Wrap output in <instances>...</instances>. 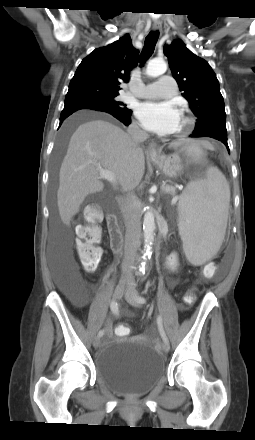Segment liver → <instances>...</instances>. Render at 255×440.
Segmentation results:
<instances>
[{"label":"liver","instance_id":"1","mask_svg":"<svg viewBox=\"0 0 255 440\" xmlns=\"http://www.w3.org/2000/svg\"><path fill=\"white\" fill-rule=\"evenodd\" d=\"M183 144L198 145L186 140L173 142L169 148ZM98 168L113 172L123 191L132 190L144 175L145 157L143 149L134 146L132 138L120 127L93 119L73 133L61 164L57 205L65 225L70 224L87 195L103 190Z\"/></svg>","mask_w":255,"mask_h":440}]
</instances>
